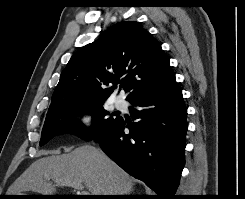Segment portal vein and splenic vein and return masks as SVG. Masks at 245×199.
Listing matches in <instances>:
<instances>
[{
  "mask_svg": "<svg viewBox=\"0 0 245 199\" xmlns=\"http://www.w3.org/2000/svg\"><path fill=\"white\" fill-rule=\"evenodd\" d=\"M56 184L71 186L79 191V195H90L88 191L84 190V186L82 185V183L78 181H68V182L57 181Z\"/></svg>",
  "mask_w": 245,
  "mask_h": 199,
  "instance_id": "18ae733b",
  "label": "portal vein and splenic vein"
}]
</instances>
